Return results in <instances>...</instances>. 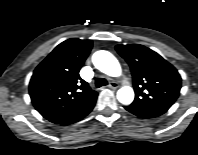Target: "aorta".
<instances>
[{
  "instance_id": "aorta-1",
  "label": "aorta",
  "mask_w": 198,
  "mask_h": 155,
  "mask_svg": "<svg viewBox=\"0 0 198 155\" xmlns=\"http://www.w3.org/2000/svg\"><path fill=\"white\" fill-rule=\"evenodd\" d=\"M93 65L101 72L117 77L121 75V66L116 57L109 51L99 50L92 56ZM117 99L124 105H129L134 100V91L130 86H123L117 91Z\"/></svg>"
}]
</instances>
